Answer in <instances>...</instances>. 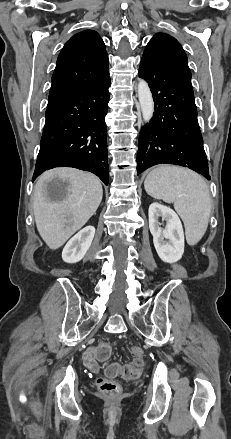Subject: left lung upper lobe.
Listing matches in <instances>:
<instances>
[{
	"mask_svg": "<svg viewBox=\"0 0 231 439\" xmlns=\"http://www.w3.org/2000/svg\"><path fill=\"white\" fill-rule=\"evenodd\" d=\"M146 49L156 52L181 75L191 81L187 56L175 38L165 33H158L150 40Z\"/></svg>",
	"mask_w": 231,
	"mask_h": 439,
	"instance_id": "obj_1",
	"label": "left lung upper lobe"
}]
</instances>
